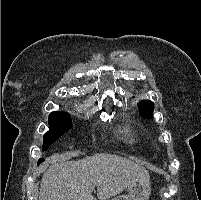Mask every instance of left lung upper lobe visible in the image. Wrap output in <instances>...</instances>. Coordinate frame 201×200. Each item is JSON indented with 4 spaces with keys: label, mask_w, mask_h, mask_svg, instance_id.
<instances>
[{
    "label": "left lung upper lobe",
    "mask_w": 201,
    "mask_h": 200,
    "mask_svg": "<svg viewBox=\"0 0 201 200\" xmlns=\"http://www.w3.org/2000/svg\"><path fill=\"white\" fill-rule=\"evenodd\" d=\"M140 114L145 118H152L154 103L150 100L141 101L138 105Z\"/></svg>",
    "instance_id": "5c2ea615"
}]
</instances>
